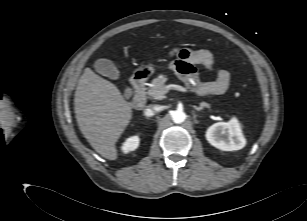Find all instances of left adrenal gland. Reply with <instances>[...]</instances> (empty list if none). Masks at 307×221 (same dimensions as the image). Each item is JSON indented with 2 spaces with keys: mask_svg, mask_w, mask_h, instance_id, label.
I'll return each instance as SVG.
<instances>
[{
  "mask_svg": "<svg viewBox=\"0 0 307 221\" xmlns=\"http://www.w3.org/2000/svg\"><path fill=\"white\" fill-rule=\"evenodd\" d=\"M193 107H194L195 110L201 111V110H203V108H210V105L205 103V102H202V103H200L199 107H197V106H193Z\"/></svg>",
  "mask_w": 307,
  "mask_h": 221,
  "instance_id": "a2214340",
  "label": "left adrenal gland"
}]
</instances>
